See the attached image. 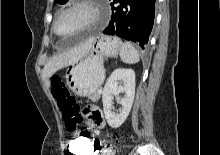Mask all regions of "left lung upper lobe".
Wrapping results in <instances>:
<instances>
[{
  "mask_svg": "<svg viewBox=\"0 0 220 155\" xmlns=\"http://www.w3.org/2000/svg\"><path fill=\"white\" fill-rule=\"evenodd\" d=\"M56 3H59V4H64L66 3L68 0H54Z\"/></svg>",
  "mask_w": 220,
  "mask_h": 155,
  "instance_id": "5c2ea615",
  "label": "left lung upper lobe"
}]
</instances>
